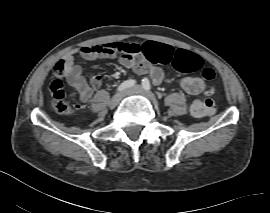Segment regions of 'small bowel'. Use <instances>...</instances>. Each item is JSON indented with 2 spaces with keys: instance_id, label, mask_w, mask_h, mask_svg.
I'll use <instances>...</instances> for the list:
<instances>
[{
  "instance_id": "1",
  "label": "small bowel",
  "mask_w": 270,
  "mask_h": 213,
  "mask_svg": "<svg viewBox=\"0 0 270 213\" xmlns=\"http://www.w3.org/2000/svg\"><path fill=\"white\" fill-rule=\"evenodd\" d=\"M149 51L154 58L161 62L171 60L175 55L172 46L156 42L150 44ZM76 56H80L87 61H93L111 59L114 55L108 51L106 44L85 45L79 49L69 51L56 63L55 69L63 73L68 85L78 92L80 100L87 102L100 87L102 79L97 75L85 78L81 66L75 63ZM119 62L138 75L150 73L155 84H160L163 81L164 73L157 66H149L142 61H134L128 55L121 56ZM179 86L190 95H198L205 90L206 82L201 77H183L179 80ZM79 107L77 106V108Z\"/></svg>"
}]
</instances>
